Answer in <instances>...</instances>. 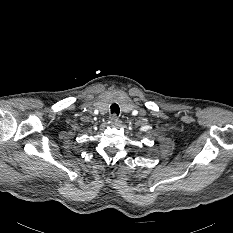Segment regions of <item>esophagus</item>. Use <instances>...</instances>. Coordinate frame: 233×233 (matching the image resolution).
Here are the masks:
<instances>
[{
	"instance_id": "obj_1",
	"label": "esophagus",
	"mask_w": 233,
	"mask_h": 233,
	"mask_svg": "<svg viewBox=\"0 0 233 233\" xmlns=\"http://www.w3.org/2000/svg\"><path fill=\"white\" fill-rule=\"evenodd\" d=\"M110 123L112 125H114V126H118V125H120L121 121H120V119L116 115H112L110 117Z\"/></svg>"
}]
</instances>
